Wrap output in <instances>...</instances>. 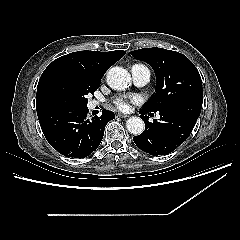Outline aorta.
Wrapping results in <instances>:
<instances>
[{"label":"aorta","mask_w":240,"mask_h":240,"mask_svg":"<svg viewBox=\"0 0 240 240\" xmlns=\"http://www.w3.org/2000/svg\"><path fill=\"white\" fill-rule=\"evenodd\" d=\"M107 84L114 90H124L131 84L129 72L122 67H112L107 72ZM126 128L133 135H140L144 131V121L136 116L129 118L126 122Z\"/></svg>","instance_id":"obj_1"}]
</instances>
